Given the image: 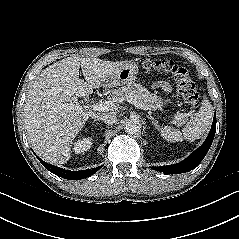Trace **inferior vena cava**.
<instances>
[{
	"label": "inferior vena cava",
	"instance_id": "obj_1",
	"mask_svg": "<svg viewBox=\"0 0 239 239\" xmlns=\"http://www.w3.org/2000/svg\"><path fill=\"white\" fill-rule=\"evenodd\" d=\"M93 119L95 120H101L103 122H105L108 125H112L117 121V118L114 114H94L92 116Z\"/></svg>",
	"mask_w": 239,
	"mask_h": 239
}]
</instances>
